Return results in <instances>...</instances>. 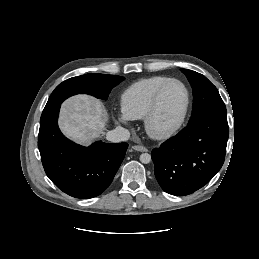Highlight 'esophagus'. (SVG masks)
<instances>
[{
	"label": "esophagus",
	"instance_id": "1",
	"mask_svg": "<svg viewBox=\"0 0 259 259\" xmlns=\"http://www.w3.org/2000/svg\"><path fill=\"white\" fill-rule=\"evenodd\" d=\"M132 148L136 151H139V152H147L148 149L144 146H140V145H134L132 146Z\"/></svg>",
	"mask_w": 259,
	"mask_h": 259
}]
</instances>
